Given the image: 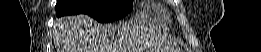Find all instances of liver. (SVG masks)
Segmentation results:
<instances>
[{
	"label": "liver",
	"mask_w": 261,
	"mask_h": 52,
	"mask_svg": "<svg viewBox=\"0 0 261 52\" xmlns=\"http://www.w3.org/2000/svg\"><path fill=\"white\" fill-rule=\"evenodd\" d=\"M61 52H118L117 27L102 26L87 15L66 16L56 23Z\"/></svg>",
	"instance_id": "obj_1"
}]
</instances>
